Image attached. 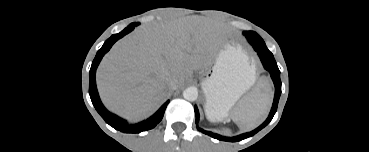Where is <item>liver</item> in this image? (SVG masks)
Returning a JSON list of instances; mask_svg holds the SVG:
<instances>
[{
    "label": "liver",
    "instance_id": "1",
    "mask_svg": "<svg viewBox=\"0 0 369 152\" xmlns=\"http://www.w3.org/2000/svg\"><path fill=\"white\" fill-rule=\"evenodd\" d=\"M221 26L208 19H178L137 28L117 42L97 70L105 106L131 121L149 116L170 90L193 70L207 65L225 40ZM174 81L170 88L167 79Z\"/></svg>",
    "mask_w": 369,
    "mask_h": 152
}]
</instances>
